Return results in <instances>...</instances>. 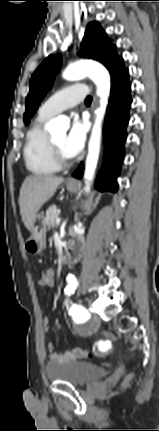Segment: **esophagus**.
I'll return each mask as SVG.
<instances>
[{"label": "esophagus", "instance_id": "esophagus-1", "mask_svg": "<svg viewBox=\"0 0 159 431\" xmlns=\"http://www.w3.org/2000/svg\"><path fill=\"white\" fill-rule=\"evenodd\" d=\"M68 182L71 183V184H75L76 183V181L74 179H69Z\"/></svg>", "mask_w": 159, "mask_h": 431}]
</instances>
